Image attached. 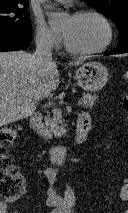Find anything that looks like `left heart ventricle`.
Returning <instances> with one entry per match:
<instances>
[{
  "label": "left heart ventricle",
  "mask_w": 128,
  "mask_h": 213,
  "mask_svg": "<svg viewBox=\"0 0 128 213\" xmlns=\"http://www.w3.org/2000/svg\"><path fill=\"white\" fill-rule=\"evenodd\" d=\"M62 32L68 43L77 49L97 48L106 39L103 22L94 16L71 17L64 22Z\"/></svg>",
  "instance_id": "1"
}]
</instances>
